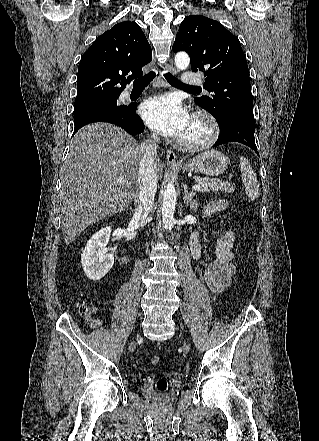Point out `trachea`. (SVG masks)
Segmentation results:
<instances>
[{"instance_id": "1", "label": "trachea", "mask_w": 319, "mask_h": 441, "mask_svg": "<svg viewBox=\"0 0 319 441\" xmlns=\"http://www.w3.org/2000/svg\"><path fill=\"white\" fill-rule=\"evenodd\" d=\"M156 77V73L154 71L149 72L148 74H146L145 76L136 79L133 82V87L134 88H142V87H146L148 84H150V82ZM165 79L173 86L175 87H179V88H185V89H199L198 87H194V86H188L183 84L181 81H179L178 79H176L171 73H166L164 74Z\"/></svg>"}]
</instances>
